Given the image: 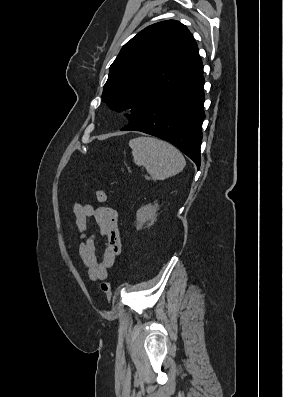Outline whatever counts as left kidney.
I'll list each match as a JSON object with an SVG mask.
<instances>
[{
  "instance_id": "left-kidney-1",
  "label": "left kidney",
  "mask_w": 283,
  "mask_h": 397,
  "mask_svg": "<svg viewBox=\"0 0 283 397\" xmlns=\"http://www.w3.org/2000/svg\"><path fill=\"white\" fill-rule=\"evenodd\" d=\"M158 208V204L154 203V205L148 204L138 209L136 213L138 230L142 228L145 222L155 218Z\"/></svg>"
}]
</instances>
